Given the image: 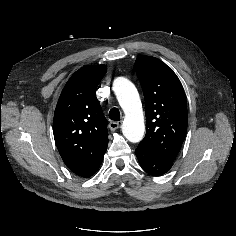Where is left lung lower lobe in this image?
<instances>
[{"instance_id":"obj_1","label":"left lung lower lobe","mask_w":236,"mask_h":236,"mask_svg":"<svg viewBox=\"0 0 236 236\" xmlns=\"http://www.w3.org/2000/svg\"><path fill=\"white\" fill-rule=\"evenodd\" d=\"M135 153L141 167L153 176H161L167 173L173 165L172 162L159 158L139 147L135 150Z\"/></svg>"}]
</instances>
